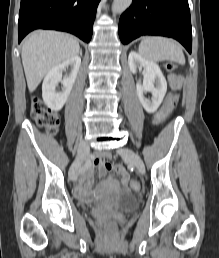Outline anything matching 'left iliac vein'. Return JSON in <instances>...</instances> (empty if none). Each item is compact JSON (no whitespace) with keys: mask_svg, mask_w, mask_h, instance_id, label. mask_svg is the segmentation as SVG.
Masks as SVG:
<instances>
[{"mask_svg":"<svg viewBox=\"0 0 219 258\" xmlns=\"http://www.w3.org/2000/svg\"><path fill=\"white\" fill-rule=\"evenodd\" d=\"M119 154L127 159L141 173H145V166L140 156L129 148H121Z\"/></svg>","mask_w":219,"mask_h":258,"instance_id":"left-iliac-vein-1","label":"left iliac vein"}]
</instances>
